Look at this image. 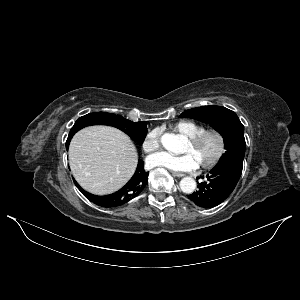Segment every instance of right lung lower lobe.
Instances as JSON below:
<instances>
[{
    "label": "right lung lower lobe",
    "instance_id": "98d812e1",
    "mask_svg": "<svg viewBox=\"0 0 300 300\" xmlns=\"http://www.w3.org/2000/svg\"><path fill=\"white\" fill-rule=\"evenodd\" d=\"M69 142L70 141L67 140L66 143L67 148L69 146ZM143 164H144L143 161L139 160L137 169L134 175L132 176V178L128 181V183L123 188H121L119 191L113 194H109L105 196L93 195L83 190L75 180L74 183L77 186V188L82 192V194L94 204L106 208L118 207L126 204L133 198L137 197L145 188L148 182L149 172H146L144 170Z\"/></svg>",
    "mask_w": 300,
    "mask_h": 300
}]
</instances>
